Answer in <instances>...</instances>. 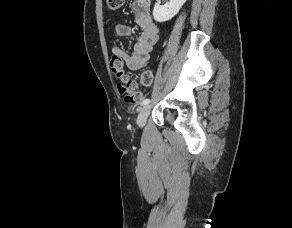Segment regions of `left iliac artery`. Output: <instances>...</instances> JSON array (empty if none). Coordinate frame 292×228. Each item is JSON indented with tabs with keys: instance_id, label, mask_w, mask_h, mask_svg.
Wrapping results in <instances>:
<instances>
[{
	"instance_id": "obj_1",
	"label": "left iliac artery",
	"mask_w": 292,
	"mask_h": 228,
	"mask_svg": "<svg viewBox=\"0 0 292 228\" xmlns=\"http://www.w3.org/2000/svg\"><path fill=\"white\" fill-rule=\"evenodd\" d=\"M150 103V99L146 98L145 100H143L142 105H147Z\"/></svg>"
}]
</instances>
